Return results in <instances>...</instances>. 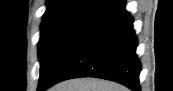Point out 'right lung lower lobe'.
I'll list each match as a JSON object with an SVG mask.
<instances>
[{
	"mask_svg": "<svg viewBox=\"0 0 173 91\" xmlns=\"http://www.w3.org/2000/svg\"><path fill=\"white\" fill-rule=\"evenodd\" d=\"M133 17L121 0L97 13L76 33L38 91L69 78L97 77L139 91L141 63Z\"/></svg>",
	"mask_w": 173,
	"mask_h": 91,
	"instance_id": "98d812e1",
	"label": "right lung lower lobe"
}]
</instances>
